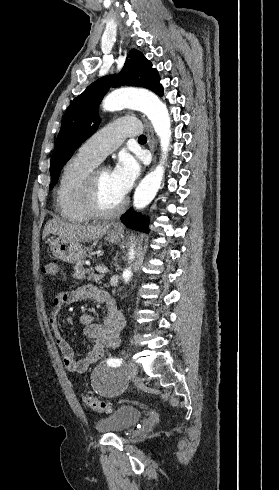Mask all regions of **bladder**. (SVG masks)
I'll return each mask as SVG.
<instances>
[{
	"label": "bladder",
	"mask_w": 279,
	"mask_h": 490,
	"mask_svg": "<svg viewBox=\"0 0 279 490\" xmlns=\"http://www.w3.org/2000/svg\"><path fill=\"white\" fill-rule=\"evenodd\" d=\"M142 410L131 405H121L117 410L96 422V430L111 434L125 432L136 424L142 417Z\"/></svg>",
	"instance_id": "1"
}]
</instances>
